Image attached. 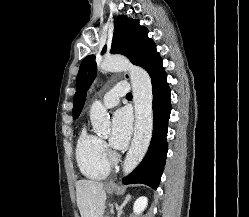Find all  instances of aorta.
I'll return each mask as SVG.
<instances>
[{"label": "aorta", "instance_id": "762f6f07", "mask_svg": "<svg viewBox=\"0 0 249 217\" xmlns=\"http://www.w3.org/2000/svg\"><path fill=\"white\" fill-rule=\"evenodd\" d=\"M101 69L111 72L129 71L133 89L135 107V128L130 149L124 161L123 172L131 173L146 154L153 130L152 83L149 74L142 68L133 66L120 56L105 57ZM90 120L96 133H105L109 126V118L105 107L95 101L90 109Z\"/></svg>", "mask_w": 249, "mask_h": 217}]
</instances>
